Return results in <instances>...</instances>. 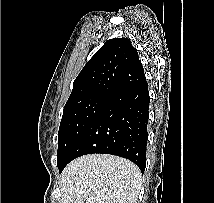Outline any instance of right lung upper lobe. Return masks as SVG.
Listing matches in <instances>:
<instances>
[{
    "label": "right lung upper lobe",
    "instance_id": "cb5924a9",
    "mask_svg": "<svg viewBox=\"0 0 214 203\" xmlns=\"http://www.w3.org/2000/svg\"><path fill=\"white\" fill-rule=\"evenodd\" d=\"M145 80L144 69L131 41L109 39L75 79L68 101L96 93L113 97Z\"/></svg>",
    "mask_w": 214,
    "mask_h": 203
}]
</instances>
